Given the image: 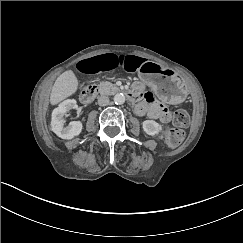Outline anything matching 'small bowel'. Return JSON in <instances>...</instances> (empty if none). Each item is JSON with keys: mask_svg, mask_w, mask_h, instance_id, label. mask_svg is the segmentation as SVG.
<instances>
[{"mask_svg": "<svg viewBox=\"0 0 243 243\" xmlns=\"http://www.w3.org/2000/svg\"><path fill=\"white\" fill-rule=\"evenodd\" d=\"M143 63L144 60L140 56L107 53L97 55L79 62L78 68L81 72L84 73H98L114 70L117 68L134 72ZM136 88L142 92L143 98V100L135 107L136 113L139 115H147L151 119H160L162 122H168L170 120V113L167 107L159 102L153 93L143 92L144 88L142 84L137 83Z\"/></svg>", "mask_w": 243, "mask_h": 243, "instance_id": "1", "label": "small bowel"}]
</instances>
